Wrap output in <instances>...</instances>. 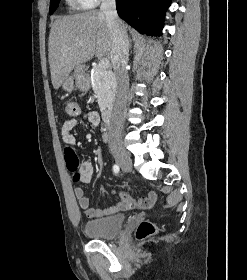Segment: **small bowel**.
I'll use <instances>...</instances> for the list:
<instances>
[{
	"instance_id": "small-bowel-1",
	"label": "small bowel",
	"mask_w": 247,
	"mask_h": 280,
	"mask_svg": "<svg viewBox=\"0 0 247 280\" xmlns=\"http://www.w3.org/2000/svg\"><path fill=\"white\" fill-rule=\"evenodd\" d=\"M79 123L86 127H98L100 124L99 114L95 111H87L83 113L79 119L76 117L68 118L64 122L61 131L62 139L66 147L73 148L75 146L76 139L72 132ZM78 172L80 174L79 182L89 183L94 175V167L91 162L85 161L80 164ZM74 193L79 206L84 209L86 217L90 219L114 215L135 207L148 208L151 207L156 200V194L154 192L135 201L127 192L119 191L116 193L119 198L117 204L104 209H95L89 206V198L82 187H76Z\"/></svg>"
}]
</instances>
